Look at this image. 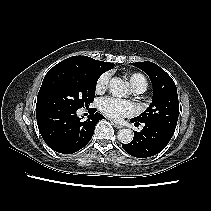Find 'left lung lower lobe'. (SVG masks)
<instances>
[{"mask_svg":"<svg viewBox=\"0 0 211 211\" xmlns=\"http://www.w3.org/2000/svg\"><path fill=\"white\" fill-rule=\"evenodd\" d=\"M135 125L140 122L131 119ZM174 132H171L159 125L143 123L140 132L135 131L133 140L128 144H123V149L130 155L138 158H147L161 152L169 143Z\"/></svg>","mask_w":211,"mask_h":211,"instance_id":"left-lung-lower-lobe-1","label":"left lung lower lobe"}]
</instances>
